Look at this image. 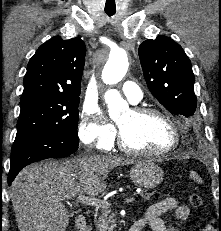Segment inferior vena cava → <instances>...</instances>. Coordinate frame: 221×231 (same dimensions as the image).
I'll return each instance as SVG.
<instances>
[{"label": "inferior vena cava", "mask_w": 221, "mask_h": 231, "mask_svg": "<svg viewBox=\"0 0 221 231\" xmlns=\"http://www.w3.org/2000/svg\"><path fill=\"white\" fill-rule=\"evenodd\" d=\"M90 150H91V147H90V148H88L87 152H89Z\"/></svg>", "instance_id": "inferior-vena-cava-1"}]
</instances>
